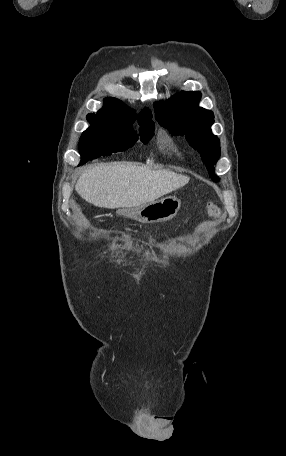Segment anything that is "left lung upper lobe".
Listing matches in <instances>:
<instances>
[{"label":"left lung upper lobe","mask_w":286,"mask_h":456,"mask_svg":"<svg viewBox=\"0 0 286 456\" xmlns=\"http://www.w3.org/2000/svg\"><path fill=\"white\" fill-rule=\"evenodd\" d=\"M200 98L199 91H182L164 102L155 103V117L173 135H186L190 145L203 158L210 177L217 181L213 165L220 157V141L210 129L213 113L198 107Z\"/></svg>","instance_id":"left-lung-upper-lobe-1"}]
</instances>
